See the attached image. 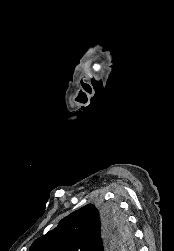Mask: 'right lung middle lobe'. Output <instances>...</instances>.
Wrapping results in <instances>:
<instances>
[{"label":"right lung middle lobe","instance_id":"right-lung-middle-lobe-1","mask_svg":"<svg viewBox=\"0 0 174 251\" xmlns=\"http://www.w3.org/2000/svg\"><path fill=\"white\" fill-rule=\"evenodd\" d=\"M100 211L103 213L105 218L117 227V231L123 237V244L121 245V250H133V239L131 231L128 227L127 220L122 214L120 209L115 204H104L100 206Z\"/></svg>","mask_w":174,"mask_h":251}]
</instances>
